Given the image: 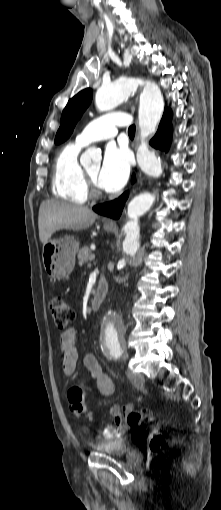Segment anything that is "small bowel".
<instances>
[{"instance_id":"small-bowel-1","label":"small bowel","mask_w":221,"mask_h":510,"mask_svg":"<svg viewBox=\"0 0 221 510\" xmlns=\"http://www.w3.org/2000/svg\"><path fill=\"white\" fill-rule=\"evenodd\" d=\"M59 353L61 356V369L63 374L66 376L72 375L76 370L78 359L75 329H69L61 333L59 337ZM83 363L91 376L96 380L99 395L102 397L110 396L114 391V383L110 376L103 372L96 355L94 353L85 354ZM67 398L69 401V408L75 416H80L86 412V407L83 403L84 392L81 388L73 387L69 389ZM130 411H133L131 405H114L111 407L110 413L114 417L115 426L109 427L111 433L105 436L106 438H118L129 430L130 426L126 423L125 415Z\"/></svg>"}]
</instances>
